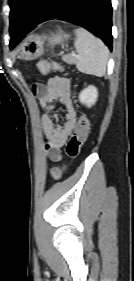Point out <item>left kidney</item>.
I'll use <instances>...</instances> for the list:
<instances>
[{
	"mask_svg": "<svg viewBox=\"0 0 134 281\" xmlns=\"http://www.w3.org/2000/svg\"><path fill=\"white\" fill-rule=\"evenodd\" d=\"M98 97V91L94 86H88L84 90L81 91L79 94V100L82 104L86 105L87 107H91L95 104Z\"/></svg>",
	"mask_w": 134,
	"mask_h": 281,
	"instance_id": "5707ae66",
	"label": "left kidney"
}]
</instances>
